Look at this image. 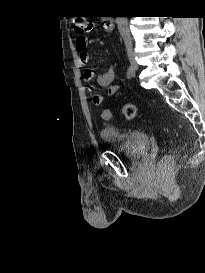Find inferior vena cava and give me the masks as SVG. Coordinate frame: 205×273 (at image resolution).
I'll return each mask as SVG.
<instances>
[{"mask_svg":"<svg viewBox=\"0 0 205 273\" xmlns=\"http://www.w3.org/2000/svg\"><path fill=\"white\" fill-rule=\"evenodd\" d=\"M117 25L126 47H131L132 38L128 27L127 17H117Z\"/></svg>","mask_w":205,"mask_h":273,"instance_id":"1","label":"inferior vena cava"}]
</instances>
